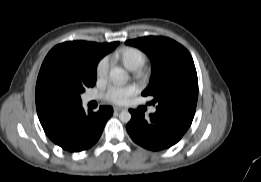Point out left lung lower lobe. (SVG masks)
<instances>
[{"mask_svg":"<svg viewBox=\"0 0 261 182\" xmlns=\"http://www.w3.org/2000/svg\"><path fill=\"white\" fill-rule=\"evenodd\" d=\"M132 118L126 129L140 146L158 151L177 143L190 127L194 115L182 112L156 111L145 118L138 110H129Z\"/></svg>","mask_w":261,"mask_h":182,"instance_id":"left-lung-lower-lobe-1","label":"left lung lower lobe"}]
</instances>
